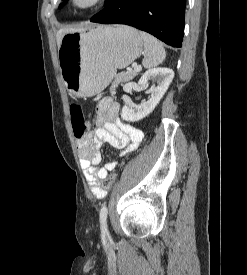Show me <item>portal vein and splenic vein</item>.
<instances>
[{
    "mask_svg": "<svg viewBox=\"0 0 247 275\" xmlns=\"http://www.w3.org/2000/svg\"><path fill=\"white\" fill-rule=\"evenodd\" d=\"M141 70H142V68L140 66L134 67V71L135 72H140Z\"/></svg>",
    "mask_w": 247,
    "mask_h": 275,
    "instance_id": "obj_1",
    "label": "portal vein and splenic vein"
}]
</instances>
